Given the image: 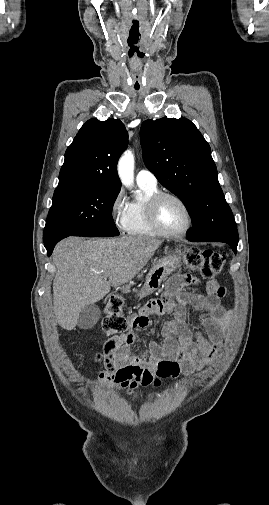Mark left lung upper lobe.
<instances>
[{"label": "left lung upper lobe", "instance_id": "5c2ea615", "mask_svg": "<svg viewBox=\"0 0 269 505\" xmlns=\"http://www.w3.org/2000/svg\"><path fill=\"white\" fill-rule=\"evenodd\" d=\"M140 141L147 168L191 214L188 239L238 244L236 223L218 182L210 146L196 126L184 117L146 120Z\"/></svg>", "mask_w": 269, "mask_h": 505}]
</instances>
